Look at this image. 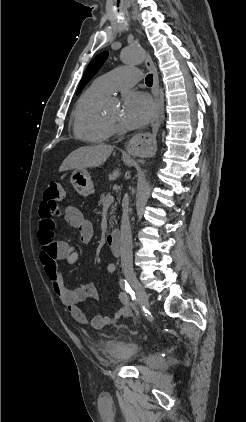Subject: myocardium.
<instances>
[{"mask_svg":"<svg viewBox=\"0 0 246 422\" xmlns=\"http://www.w3.org/2000/svg\"><path fill=\"white\" fill-rule=\"evenodd\" d=\"M105 118V121L110 125V126H112V125H114L115 123L114 122H112V121H110L109 119H107L106 117H104Z\"/></svg>","mask_w":246,"mask_h":422,"instance_id":"obj_1","label":"myocardium"}]
</instances>
